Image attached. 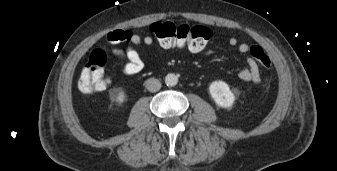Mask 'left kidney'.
Returning a JSON list of instances; mask_svg holds the SVG:
<instances>
[{
  "instance_id": "obj_1",
  "label": "left kidney",
  "mask_w": 337,
  "mask_h": 171,
  "mask_svg": "<svg viewBox=\"0 0 337 171\" xmlns=\"http://www.w3.org/2000/svg\"><path fill=\"white\" fill-rule=\"evenodd\" d=\"M209 92L215 103L222 108H229L234 104L235 96L229 85L224 81H214L209 86Z\"/></svg>"
}]
</instances>
